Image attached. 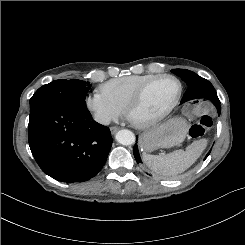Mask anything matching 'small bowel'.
I'll use <instances>...</instances> for the list:
<instances>
[{
	"mask_svg": "<svg viewBox=\"0 0 245 245\" xmlns=\"http://www.w3.org/2000/svg\"><path fill=\"white\" fill-rule=\"evenodd\" d=\"M210 103L207 100H193L186 105V112L189 115H203L210 110Z\"/></svg>",
	"mask_w": 245,
	"mask_h": 245,
	"instance_id": "1",
	"label": "small bowel"
}]
</instances>
